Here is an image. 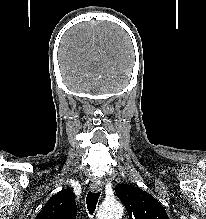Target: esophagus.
I'll return each instance as SVG.
<instances>
[{
  "mask_svg": "<svg viewBox=\"0 0 206 219\" xmlns=\"http://www.w3.org/2000/svg\"><path fill=\"white\" fill-rule=\"evenodd\" d=\"M90 189L93 192H99V191L102 190V185L98 181H94V182L91 183Z\"/></svg>",
  "mask_w": 206,
  "mask_h": 219,
  "instance_id": "34e87169",
  "label": "esophagus"
}]
</instances>
